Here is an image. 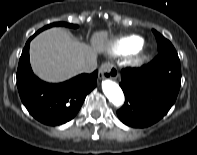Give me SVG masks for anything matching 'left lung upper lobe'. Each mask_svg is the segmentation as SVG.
<instances>
[{"mask_svg":"<svg viewBox=\"0 0 197 155\" xmlns=\"http://www.w3.org/2000/svg\"><path fill=\"white\" fill-rule=\"evenodd\" d=\"M153 33L155 34L157 45H158V52L159 55L163 54H172L177 55V52L171 42L167 40L165 37H163L160 33L153 30Z\"/></svg>","mask_w":197,"mask_h":155,"instance_id":"5c2ea615","label":"left lung upper lobe"}]
</instances>
